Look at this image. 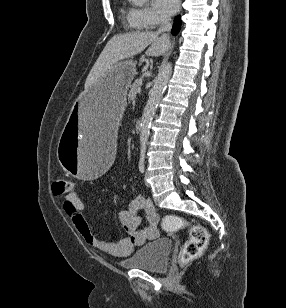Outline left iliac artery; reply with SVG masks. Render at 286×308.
I'll return each mask as SVG.
<instances>
[{
	"mask_svg": "<svg viewBox=\"0 0 286 308\" xmlns=\"http://www.w3.org/2000/svg\"><path fill=\"white\" fill-rule=\"evenodd\" d=\"M145 152H146V147L143 146V147L141 148V152H140V161H139V171H140L141 173H143L144 170H145V165H144V161H145Z\"/></svg>",
	"mask_w": 286,
	"mask_h": 308,
	"instance_id": "44dca946",
	"label": "left iliac artery"
}]
</instances>
